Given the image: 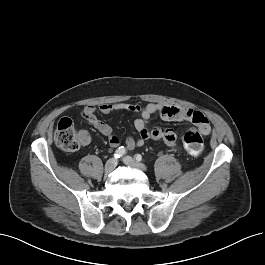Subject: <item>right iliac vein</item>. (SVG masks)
<instances>
[{
    "instance_id": "63e3f726",
    "label": "right iliac vein",
    "mask_w": 265,
    "mask_h": 265,
    "mask_svg": "<svg viewBox=\"0 0 265 265\" xmlns=\"http://www.w3.org/2000/svg\"><path fill=\"white\" fill-rule=\"evenodd\" d=\"M116 166H117V160L115 158L109 159L106 162L105 167H104L105 173L106 174L111 173L115 169Z\"/></svg>"
}]
</instances>
